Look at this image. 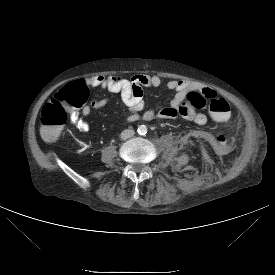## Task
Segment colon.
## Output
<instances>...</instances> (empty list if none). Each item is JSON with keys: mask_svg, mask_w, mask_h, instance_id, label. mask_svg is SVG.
<instances>
[{"mask_svg": "<svg viewBox=\"0 0 275 275\" xmlns=\"http://www.w3.org/2000/svg\"><path fill=\"white\" fill-rule=\"evenodd\" d=\"M88 89L83 81L77 80L63 86L54 97L44 105L40 114L42 131L48 140L55 139L63 130L71 113L86 107ZM189 106L194 110L208 109L213 118L224 123L231 116V105L214 92H191L187 96Z\"/></svg>", "mask_w": 275, "mask_h": 275, "instance_id": "1", "label": "colon"}]
</instances>
